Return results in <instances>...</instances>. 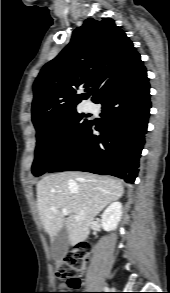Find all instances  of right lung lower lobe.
Returning <instances> with one entry per match:
<instances>
[{"label":"right lung lower lobe","instance_id":"right-lung-lower-lobe-1","mask_svg":"<svg viewBox=\"0 0 170 293\" xmlns=\"http://www.w3.org/2000/svg\"><path fill=\"white\" fill-rule=\"evenodd\" d=\"M149 89L143 67L104 90L95 101L102 104L101 122L89 121L47 172L85 171L133 183L151 108ZM94 131L100 135H93Z\"/></svg>","mask_w":170,"mask_h":293}]
</instances>
